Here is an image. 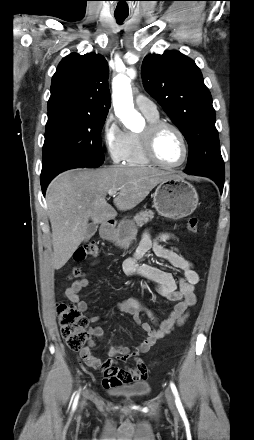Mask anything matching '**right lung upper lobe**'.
Here are the masks:
<instances>
[{"label":"right lung upper lobe","mask_w":254,"mask_h":440,"mask_svg":"<svg viewBox=\"0 0 254 440\" xmlns=\"http://www.w3.org/2000/svg\"><path fill=\"white\" fill-rule=\"evenodd\" d=\"M111 99L108 64L102 55L71 53L52 77L48 112L69 108L94 115H107Z\"/></svg>","instance_id":"1"}]
</instances>
